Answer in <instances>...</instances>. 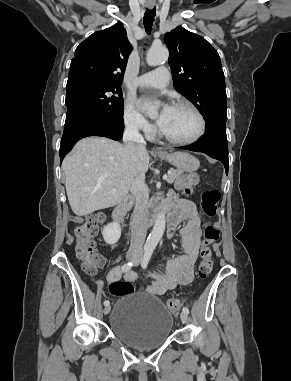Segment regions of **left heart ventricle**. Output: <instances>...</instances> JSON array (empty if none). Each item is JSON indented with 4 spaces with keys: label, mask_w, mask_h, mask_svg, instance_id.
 Returning a JSON list of instances; mask_svg holds the SVG:
<instances>
[{
    "label": "left heart ventricle",
    "mask_w": 291,
    "mask_h": 381,
    "mask_svg": "<svg viewBox=\"0 0 291 381\" xmlns=\"http://www.w3.org/2000/svg\"><path fill=\"white\" fill-rule=\"evenodd\" d=\"M160 129L176 139H188L199 129V119L196 114L184 107L172 108L165 116Z\"/></svg>",
    "instance_id": "left-heart-ventricle-1"
}]
</instances>
